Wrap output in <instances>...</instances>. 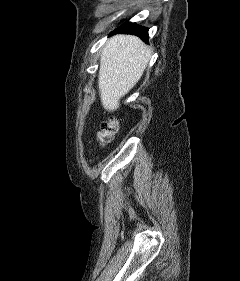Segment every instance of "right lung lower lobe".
Listing matches in <instances>:
<instances>
[{"instance_id":"right-lung-lower-lobe-1","label":"right lung lower lobe","mask_w":240,"mask_h":281,"mask_svg":"<svg viewBox=\"0 0 240 281\" xmlns=\"http://www.w3.org/2000/svg\"><path fill=\"white\" fill-rule=\"evenodd\" d=\"M116 32L137 35L144 41H147L148 39V28L137 26L135 23L131 22H126L116 29Z\"/></svg>"}]
</instances>
